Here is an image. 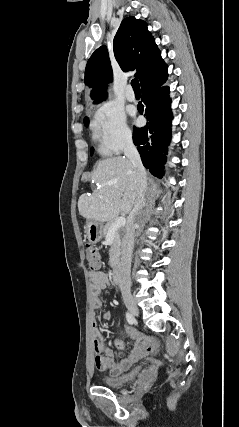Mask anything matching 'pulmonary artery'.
Returning <instances> with one entry per match:
<instances>
[{"instance_id": "e3ab8cb5", "label": "pulmonary artery", "mask_w": 239, "mask_h": 427, "mask_svg": "<svg viewBox=\"0 0 239 427\" xmlns=\"http://www.w3.org/2000/svg\"><path fill=\"white\" fill-rule=\"evenodd\" d=\"M125 96H126V99L128 101H134L135 100V93H134L131 86H128L126 88Z\"/></svg>"}]
</instances>
